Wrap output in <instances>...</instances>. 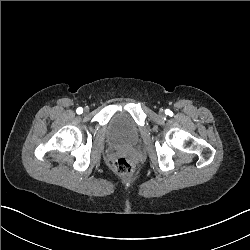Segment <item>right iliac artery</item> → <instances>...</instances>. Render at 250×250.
<instances>
[{
    "label": "right iliac artery",
    "mask_w": 250,
    "mask_h": 250,
    "mask_svg": "<svg viewBox=\"0 0 250 250\" xmlns=\"http://www.w3.org/2000/svg\"><path fill=\"white\" fill-rule=\"evenodd\" d=\"M76 112L77 114H82L83 113L82 107L77 108Z\"/></svg>",
    "instance_id": "82829eb1"
}]
</instances>
